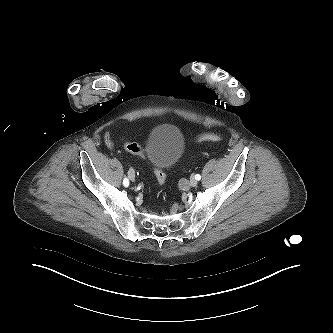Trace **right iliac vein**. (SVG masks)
Instances as JSON below:
<instances>
[{"label":"right iliac vein","mask_w":333,"mask_h":333,"mask_svg":"<svg viewBox=\"0 0 333 333\" xmlns=\"http://www.w3.org/2000/svg\"><path fill=\"white\" fill-rule=\"evenodd\" d=\"M128 176L131 180H135V171L132 168L129 169Z\"/></svg>","instance_id":"1"}]
</instances>
